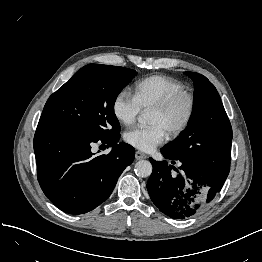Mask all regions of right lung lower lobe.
Returning a JSON list of instances; mask_svg holds the SVG:
<instances>
[{
    "label": "right lung lower lobe",
    "instance_id": "1",
    "mask_svg": "<svg viewBox=\"0 0 262 262\" xmlns=\"http://www.w3.org/2000/svg\"><path fill=\"white\" fill-rule=\"evenodd\" d=\"M120 134L89 136L74 128L39 122L34 136L38 181L48 199L70 214L89 212L112 193L123 170L134 160V148L117 143ZM107 144V155L95 156L94 143Z\"/></svg>",
    "mask_w": 262,
    "mask_h": 262
}]
</instances>
